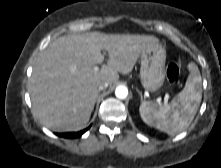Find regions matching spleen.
I'll list each match as a JSON object with an SVG mask.
<instances>
[{"instance_id": "3e777b00", "label": "spleen", "mask_w": 221, "mask_h": 168, "mask_svg": "<svg viewBox=\"0 0 221 168\" xmlns=\"http://www.w3.org/2000/svg\"><path fill=\"white\" fill-rule=\"evenodd\" d=\"M190 74L184 89L167 106L142 102L139 108L142 120L169 135L183 132L192 122L202 98V78L195 63L188 65Z\"/></svg>"}]
</instances>
